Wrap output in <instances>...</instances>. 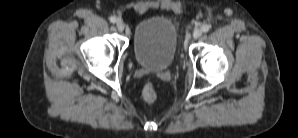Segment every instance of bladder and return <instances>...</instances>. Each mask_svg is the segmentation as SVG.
<instances>
[{
    "instance_id": "obj_1",
    "label": "bladder",
    "mask_w": 298,
    "mask_h": 138,
    "mask_svg": "<svg viewBox=\"0 0 298 138\" xmlns=\"http://www.w3.org/2000/svg\"><path fill=\"white\" fill-rule=\"evenodd\" d=\"M178 31L174 23L163 16L138 22L133 31V54L144 68L167 69L176 56Z\"/></svg>"
}]
</instances>
